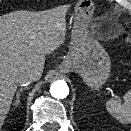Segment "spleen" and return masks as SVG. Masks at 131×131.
Masks as SVG:
<instances>
[{
  "mask_svg": "<svg viewBox=\"0 0 131 131\" xmlns=\"http://www.w3.org/2000/svg\"><path fill=\"white\" fill-rule=\"evenodd\" d=\"M105 108L119 123H131V90L122 99H109L105 104Z\"/></svg>",
  "mask_w": 131,
  "mask_h": 131,
  "instance_id": "spleen-1",
  "label": "spleen"
}]
</instances>
